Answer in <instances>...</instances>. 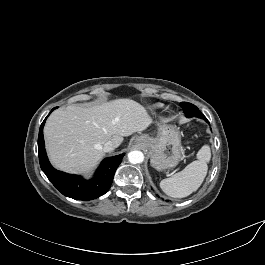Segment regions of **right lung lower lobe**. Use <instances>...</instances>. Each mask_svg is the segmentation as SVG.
Here are the masks:
<instances>
[{
    "mask_svg": "<svg viewBox=\"0 0 265 265\" xmlns=\"http://www.w3.org/2000/svg\"><path fill=\"white\" fill-rule=\"evenodd\" d=\"M53 110L54 109H52V111ZM45 120L41 124L39 130L38 151L41 169L50 182L63 195L76 200H92L104 195L109 190L113 181L114 173L122 162V158L125 154L123 153L104 159L100 167L97 169L94 178L91 180H85L81 176L58 171L51 166L46 155L43 138Z\"/></svg>",
    "mask_w": 265,
    "mask_h": 265,
    "instance_id": "1",
    "label": "right lung lower lobe"
}]
</instances>
